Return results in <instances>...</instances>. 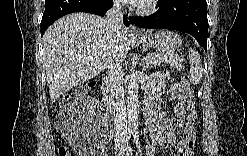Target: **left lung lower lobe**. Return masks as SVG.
I'll return each instance as SVG.
<instances>
[{
	"instance_id": "1",
	"label": "left lung lower lobe",
	"mask_w": 247,
	"mask_h": 156,
	"mask_svg": "<svg viewBox=\"0 0 247 156\" xmlns=\"http://www.w3.org/2000/svg\"><path fill=\"white\" fill-rule=\"evenodd\" d=\"M159 9L145 17H130L140 28H163L191 34L207 50L206 0H159Z\"/></svg>"
}]
</instances>
